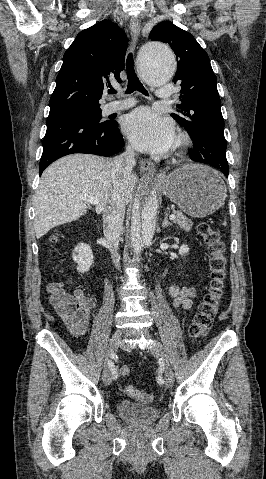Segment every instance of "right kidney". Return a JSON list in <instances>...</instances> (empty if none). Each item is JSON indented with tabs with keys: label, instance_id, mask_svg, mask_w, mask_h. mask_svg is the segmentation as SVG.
<instances>
[{
	"label": "right kidney",
	"instance_id": "right-kidney-1",
	"mask_svg": "<svg viewBox=\"0 0 266 479\" xmlns=\"http://www.w3.org/2000/svg\"><path fill=\"white\" fill-rule=\"evenodd\" d=\"M73 260L77 263V271L85 273L89 271L94 262L91 247L88 244L81 243L73 251Z\"/></svg>",
	"mask_w": 266,
	"mask_h": 479
}]
</instances>
